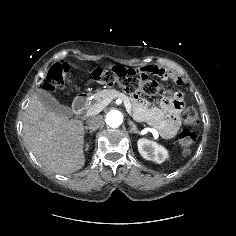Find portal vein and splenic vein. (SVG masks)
Listing matches in <instances>:
<instances>
[{"mask_svg": "<svg viewBox=\"0 0 236 236\" xmlns=\"http://www.w3.org/2000/svg\"><path fill=\"white\" fill-rule=\"evenodd\" d=\"M121 99L123 100V103H124L126 109L130 113L131 106H130L129 101L124 97L123 94H121ZM111 101H112V98L104 99L101 104H97V105H94V106L90 107L86 111L85 115L86 116H93V115H96V114L100 113L103 110V108L106 107Z\"/></svg>", "mask_w": 236, "mask_h": 236, "instance_id": "obj_1", "label": "portal vein and splenic vein"}]
</instances>
